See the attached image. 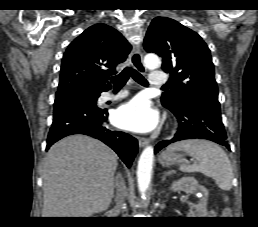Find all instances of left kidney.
Wrapping results in <instances>:
<instances>
[{"label": "left kidney", "instance_id": "obj_1", "mask_svg": "<svg viewBox=\"0 0 258 227\" xmlns=\"http://www.w3.org/2000/svg\"><path fill=\"white\" fill-rule=\"evenodd\" d=\"M171 190L196 194L200 200L197 204L192 205L189 214L191 217H206L208 191L204 186L199 185L195 178L183 177L176 180L172 183Z\"/></svg>", "mask_w": 258, "mask_h": 227}]
</instances>
